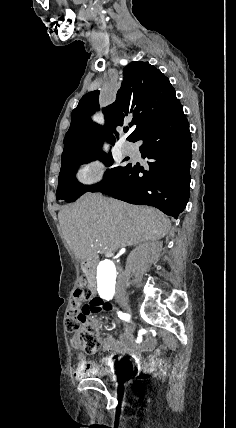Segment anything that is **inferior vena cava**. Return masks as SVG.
<instances>
[{
	"instance_id": "1",
	"label": "inferior vena cava",
	"mask_w": 236,
	"mask_h": 428,
	"mask_svg": "<svg viewBox=\"0 0 236 428\" xmlns=\"http://www.w3.org/2000/svg\"><path fill=\"white\" fill-rule=\"evenodd\" d=\"M117 268L119 269V273L117 274L118 286L116 287L117 291L115 292V295L118 298H123L126 295V292L124 291L125 290V285H124L125 272H124V269L120 265Z\"/></svg>"
}]
</instances>
